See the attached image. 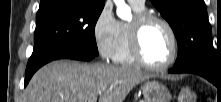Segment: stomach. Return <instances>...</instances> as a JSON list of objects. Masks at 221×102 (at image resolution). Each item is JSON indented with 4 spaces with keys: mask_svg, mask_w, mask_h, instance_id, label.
I'll list each match as a JSON object with an SVG mask.
<instances>
[{
    "mask_svg": "<svg viewBox=\"0 0 221 102\" xmlns=\"http://www.w3.org/2000/svg\"><path fill=\"white\" fill-rule=\"evenodd\" d=\"M141 88L144 102H170L171 100L169 90L158 81H146Z\"/></svg>",
    "mask_w": 221,
    "mask_h": 102,
    "instance_id": "obj_1",
    "label": "stomach"
}]
</instances>
